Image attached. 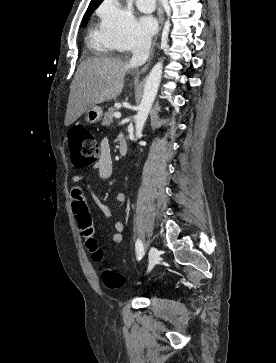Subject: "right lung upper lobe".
I'll use <instances>...</instances> for the list:
<instances>
[{
    "instance_id": "cb5924a9",
    "label": "right lung upper lobe",
    "mask_w": 276,
    "mask_h": 363,
    "mask_svg": "<svg viewBox=\"0 0 276 363\" xmlns=\"http://www.w3.org/2000/svg\"><path fill=\"white\" fill-rule=\"evenodd\" d=\"M102 0H91L89 7L98 6Z\"/></svg>"
}]
</instances>
